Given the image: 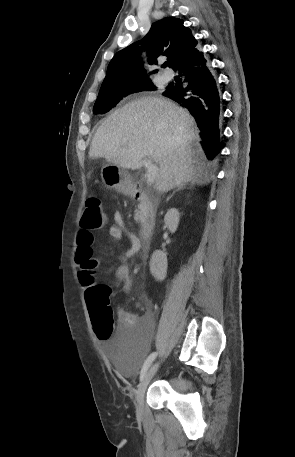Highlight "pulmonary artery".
<instances>
[{
    "label": "pulmonary artery",
    "instance_id": "obj_1",
    "mask_svg": "<svg viewBox=\"0 0 295 457\" xmlns=\"http://www.w3.org/2000/svg\"><path fill=\"white\" fill-rule=\"evenodd\" d=\"M161 78L164 80V81H170L172 79V74L168 71H164L162 72L161 74Z\"/></svg>",
    "mask_w": 295,
    "mask_h": 457
}]
</instances>
